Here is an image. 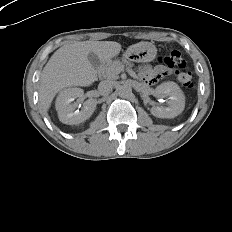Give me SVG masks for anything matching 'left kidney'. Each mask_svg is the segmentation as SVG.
<instances>
[{"label": "left kidney", "instance_id": "1", "mask_svg": "<svg viewBox=\"0 0 232 232\" xmlns=\"http://www.w3.org/2000/svg\"><path fill=\"white\" fill-rule=\"evenodd\" d=\"M157 96H168V107L153 106L150 112L157 118H174L181 114L185 107V96L180 87L172 81L164 82L155 89Z\"/></svg>", "mask_w": 232, "mask_h": 232}]
</instances>
